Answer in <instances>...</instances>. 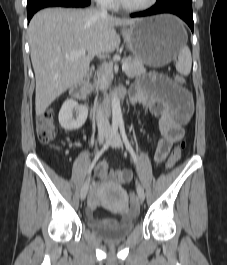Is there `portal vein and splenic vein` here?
Returning <instances> with one entry per match:
<instances>
[{
    "instance_id": "obj_1",
    "label": "portal vein and splenic vein",
    "mask_w": 227,
    "mask_h": 265,
    "mask_svg": "<svg viewBox=\"0 0 227 265\" xmlns=\"http://www.w3.org/2000/svg\"><path fill=\"white\" fill-rule=\"evenodd\" d=\"M85 54H86L85 50H77V51H73L69 54H66L65 58L69 59V60H76V59L84 56ZM127 69H128V65L126 63H123L122 70L126 71Z\"/></svg>"
}]
</instances>
